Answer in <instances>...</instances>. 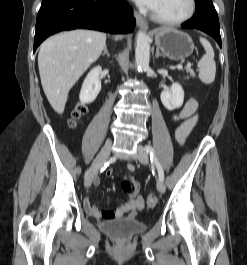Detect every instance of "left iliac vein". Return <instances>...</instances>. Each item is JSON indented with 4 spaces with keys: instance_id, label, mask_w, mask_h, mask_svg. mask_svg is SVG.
Masks as SVG:
<instances>
[{
    "instance_id": "4c4485c4",
    "label": "left iliac vein",
    "mask_w": 247,
    "mask_h": 265,
    "mask_svg": "<svg viewBox=\"0 0 247 265\" xmlns=\"http://www.w3.org/2000/svg\"><path fill=\"white\" fill-rule=\"evenodd\" d=\"M137 158L139 159V161L142 164H148L149 162V157H148V152L145 150V148L139 146L138 147V152H137ZM157 189L160 193H164L165 192V184L163 181L159 180L157 182Z\"/></svg>"
}]
</instances>
